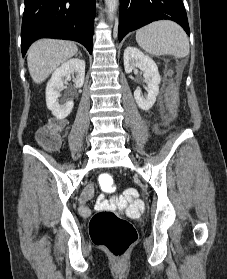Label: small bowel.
<instances>
[{
  "mask_svg": "<svg viewBox=\"0 0 227 279\" xmlns=\"http://www.w3.org/2000/svg\"><path fill=\"white\" fill-rule=\"evenodd\" d=\"M98 187L94 184L87 186L81 197L82 204L78 210L80 214L88 216L92 209H105L119 210L126 213L129 216H137L144 210V203L141 200H134V198H128L127 196L112 197L109 200L104 195L99 194L96 199L95 195L98 193Z\"/></svg>",
  "mask_w": 227,
  "mask_h": 279,
  "instance_id": "obj_1",
  "label": "small bowel"
}]
</instances>
